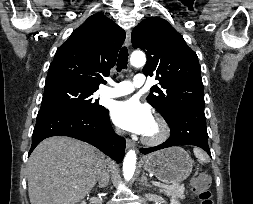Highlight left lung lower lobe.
Segmentation results:
<instances>
[{"label":"left lung lower lobe","mask_w":253,"mask_h":204,"mask_svg":"<svg viewBox=\"0 0 253 204\" xmlns=\"http://www.w3.org/2000/svg\"><path fill=\"white\" fill-rule=\"evenodd\" d=\"M167 123L171 130L169 139L156 147L141 148V153L148 154L171 146L194 145L202 148L211 156L204 106L195 105L185 108L176 113Z\"/></svg>","instance_id":"1"}]
</instances>
